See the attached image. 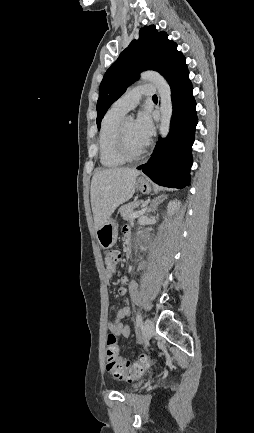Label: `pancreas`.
<instances>
[{
    "label": "pancreas",
    "mask_w": 254,
    "mask_h": 433,
    "mask_svg": "<svg viewBox=\"0 0 254 433\" xmlns=\"http://www.w3.org/2000/svg\"><path fill=\"white\" fill-rule=\"evenodd\" d=\"M140 204H144L143 201H133L121 207L120 213L124 220H132L131 215L134 213V209Z\"/></svg>",
    "instance_id": "pancreas-1"
}]
</instances>
